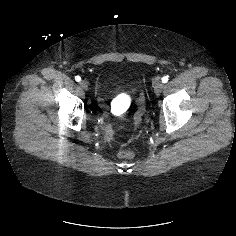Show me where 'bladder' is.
Returning a JSON list of instances; mask_svg holds the SVG:
<instances>
[{
  "instance_id": "1",
  "label": "bladder",
  "mask_w": 236,
  "mask_h": 236,
  "mask_svg": "<svg viewBox=\"0 0 236 236\" xmlns=\"http://www.w3.org/2000/svg\"><path fill=\"white\" fill-rule=\"evenodd\" d=\"M129 102V97L126 94H121L115 99V107H119L121 105H127Z\"/></svg>"
}]
</instances>
